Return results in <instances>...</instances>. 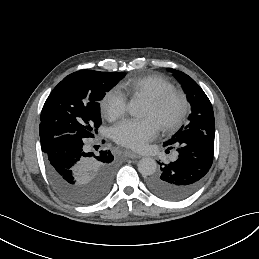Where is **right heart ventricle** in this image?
I'll return each mask as SVG.
<instances>
[{"label":"right heart ventricle","mask_w":259,"mask_h":259,"mask_svg":"<svg viewBox=\"0 0 259 259\" xmlns=\"http://www.w3.org/2000/svg\"><path fill=\"white\" fill-rule=\"evenodd\" d=\"M115 90L125 99L139 93L150 99L173 91L174 85L161 76H129L121 81Z\"/></svg>","instance_id":"obj_1"}]
</instances>
